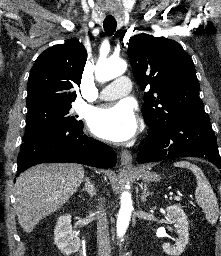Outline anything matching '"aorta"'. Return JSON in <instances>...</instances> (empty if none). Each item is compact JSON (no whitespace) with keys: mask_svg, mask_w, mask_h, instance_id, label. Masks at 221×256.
I'll return each mask as SVG.
<instances>
[{"mask_svg":"<svg viewBox=\"0 0 221 256\" xmlns=\"http://www.w3.org/2000/svg\"><path fill=\"white\" fill-rule=\"evenodd\" d=\"M126 69L127 63L122 59H107L99 61L95 70L96 80L99 82L110 81L122 75ZM120 204L121 206L118 213L116 228L117 235L122 237L129 226L131 212L133 210L131 194L128 191L122 192Z\"/></svg>","mask_w":221,"mask_h":256,"instance_id":"762f6f07","label":"aorta"}]
</instances>
